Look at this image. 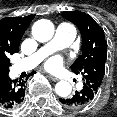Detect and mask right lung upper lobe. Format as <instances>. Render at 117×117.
I'll use <instances>...</instances> for the list:
<instances>
[{
    "label": "right lung upper lobe",
    "instance_id": "cb5924a9",
    "mask_svg": "<svg viewBox=\"0 0 117 117\" xmlns=\"http://www.w3.org/2000/svg\"><path fill=\"white\" fill-rule=\"evenodd\" d=\"M34 18V15L25 17H6L0 20V84L8 77L9 56L19 52L20 40Z\"/></svg>",
    "mask_w": 117,
    "mask_h": 117
}]
</instances>
